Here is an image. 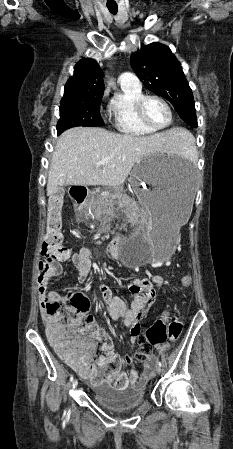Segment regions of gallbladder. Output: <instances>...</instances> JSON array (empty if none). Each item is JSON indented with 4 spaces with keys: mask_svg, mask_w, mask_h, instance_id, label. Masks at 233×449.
I'll list each match as a JSON object with an SVG mask.
<instances>
[{
    "mask_svg": "<svg viewBox=\"0 0 233 449\" xmlns=\"http://www.w3.org/2000/svg\"><path fill=\"white\" fill-rule=\"evenodd\" d=\"M58 193H59L60 195H63V193H64V190H63V188H62V187H60V188H59V190H58Z\"/></svg>",
    "mask_w": 233,
    "mask_h": 449,
    "instance_id": "gallbladder-1",
    "label": "gallbladder"
}]
</instances>
